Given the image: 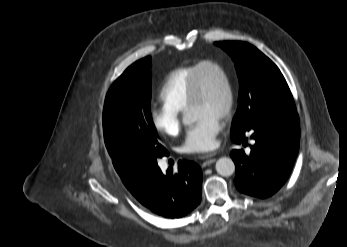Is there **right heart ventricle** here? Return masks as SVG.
Segmentation results:
<instances>
[{
	"instance_id": "e07e8e85",
	"label": "right heart ventricle",
	"mask_w": 347,
	"mask_h": 247,
	"mask_svg": "<svg viewBox=\"0 0 347 247\" xmlns=\"http://www.w3.org/2000/svg\"><path fill=\"white\" fill-rule=\"evenodd\" d=\"M197 64L179 67L166 76L159 91L163 105L178 112L187 109L189 89Z\"/></svg>"
}]
</instances>
